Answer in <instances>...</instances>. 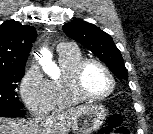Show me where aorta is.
Wrapping results in <instances>:
<instances>
[{
    "mask_svg": "<svg viewBox=\"0 0 153 134\" xmlns=\"http://www.w3.org/2000/svg\"><path fill=\"white\" fill-rule=\"evenodd\" d=\"M39 63L42 66L46 74L53 76L54 71L56 69V65L52 61V54L48 49L43 48L41 50V56L39 59Z\"/></svg>",
    "mask_w": 153,
    "mask_h": 134,
    "instance_id": "obj_1",
    "label": "aorta"
}]
</instances>
